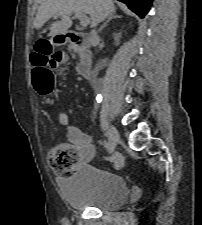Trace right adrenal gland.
Returning a JSON list of instances; mask_svg holds the SVG:
<instances>
[{
  "label": "right adrenal gland",
  "instance_id": "obj_1",
  "mask_svg": "<svg viewBox=\"0 0 202 225\" xmlns=\"http://www.w3.org/2000/svg\"><path fill=\"white\" fill-rule=\"evenodd\" d=\"M121 15H116V12L113 11L112 13L109 14L108 19L106 20V22L99 28L98 33H100L104 27L107 26V24L112 20V19H117V18H121Z\"/></svg>",
  "mask_w": 202,
  "mask_h": 225
}]
</instances>
